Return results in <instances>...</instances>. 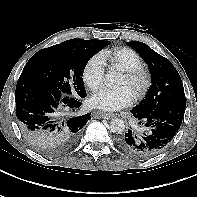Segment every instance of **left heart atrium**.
<instances>
[{"mask_svg": "<svg viewBox=\"0 0 197 197\" xmlns=\"http://www.w3.org/2000/svg\"><path fill=\"white\" fill-rule=\"evenodd\" d=\"M133 101L134 93L128 87L117 89L101 87L91 97L93 107L107 112L121 110Z\"/></svg>", "mask_w": 197, "mask_h": 197, "instance_id": "39dd6f15", "label": "left heart atrium"}]
</instances>
